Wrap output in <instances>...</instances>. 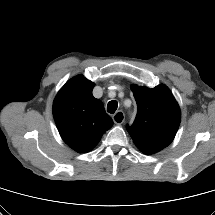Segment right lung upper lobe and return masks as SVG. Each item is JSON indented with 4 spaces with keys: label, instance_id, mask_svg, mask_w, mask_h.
Instances as JSON below:
<instances>
[{
    "label": "right lung upper lobe",
    "instance_id": "right-lung-upper-lobe-1",
    "mask_svg": "<svg viewBox=\"0 0 215 215\" xmlns=\"http://www.w3.org/2000/svg\"><path fill=\"white\" fill-rule=\"evenodd\" d=\"M94 85L77 75L66 82L53 104L54 120L63 141L79 153L92 150L113 125L102 102L92 95Z\"/></svg>",
    "mask_w": 215,
    "mask_h": 215
}]
</instances>
